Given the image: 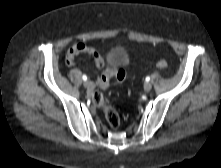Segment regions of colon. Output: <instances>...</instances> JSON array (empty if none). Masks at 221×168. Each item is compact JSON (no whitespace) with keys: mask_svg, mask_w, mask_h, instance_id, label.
<instances>
[{"mask_svg":"<svg viewBox=\"0 0 221 168\" xmlns=\"http://www.w3.org/2000/svg\"><path fill=\"white\" fill-rule=\"evenodd\" d=\"M157 67L166 69L168 63L165 60H160L157 62ZM91 100L95 105L103 108L108 125L112 129H117L120 126V116L115 109L106 103L102 93L99 91L93 92Z\"/></svg>","mask_w":221,"mask_h":168,"instance_id":"colon-1","label":"colon"}]
</instances>
